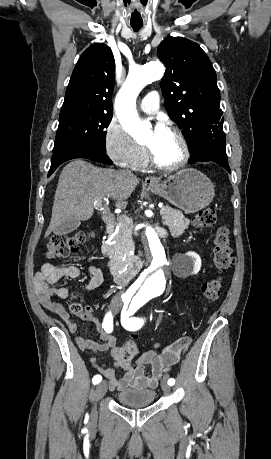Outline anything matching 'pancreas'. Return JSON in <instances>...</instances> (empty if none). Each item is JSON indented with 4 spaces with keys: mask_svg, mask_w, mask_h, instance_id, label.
I'll list each match as a JSON object with an SVG mask.
<instances>
[{
    "mask_svg": "<svg viewBox=\"0 0 271 459\" xmlns=\"http://www.w3.org/2000/svg\"><path fill=\"white\" fill-rule=\"evenodd\" d=\"M160 214H168V218L164 219L163 224L165 226H169V229L174 235V237H178V235H182L185 229L189 226V220L184 218L182 212L179 210H172L169 206H165L160 210ZM119 222V229L118 231H113L115 233L112 241H116V243H102V253H106L109 257H114L117 255L116 251H119L121 255L126 253L125 249H130L131 241H132V229H133V222L131 218H127V216H121L118 218ZM112 235V233H109Z\"/></svg>",
    "mask_w": 271,
    "mask_h": 459,
    "instance_id": "cf45deb5",
    "label": "pancreas"
}]
</instances>
